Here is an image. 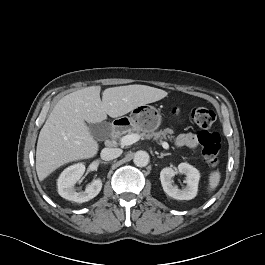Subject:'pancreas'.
<instances>
[{
  "label": "pancreas",
  "instance_id": "obj_1",
  "mask_svg": "<svg viewBox=\"0 0 265 265\" xmlns=\"http://www.w3.org/2000/svg\"><path fill=\"white\" fill-rule=\"evenodd\" d=\"M136 131V130H135ZM128 132L130 133L131 130H128ZM138 132V131H137ZM173 133V131L169 128L167 129H164V130H160V131H157V132H149V133H141L140 136L142 138H146V139H151L153 138L154 140H159L160 142L162 140H166V139H169L170 141L173 140V136L171 135Z\"/></svg>",
  "mask_w": 265,
  "mask_h": 265
}]
</instances>
